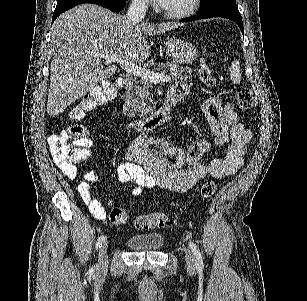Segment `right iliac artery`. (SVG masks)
Wrapping results in <instances>:
<instances>
[{"mask_svg":"<svg viewBox=\"0 0 307 301\" xmlns=\"http://www.w3.org/2000/svg\"><path fill=\"white\" fill-rule=\"evenodd\" d=\"M106 237L104 235L100 236L96 242V248H100L102 243L105 241Z\"/></svg>","mask_w":307,"mask_h":301,"instance_id":"82829eb1","label":"right iliac artery"}]
</instances>
